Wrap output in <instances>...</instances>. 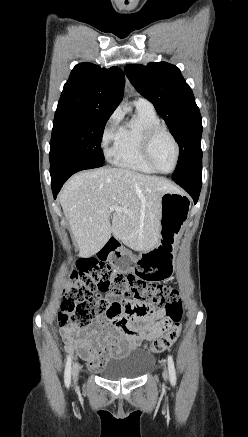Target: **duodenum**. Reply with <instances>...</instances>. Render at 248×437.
<instances>
[{
  "instance_id": "obj_1",
  "label": "duodenum",
  "mask_w": 248,
  "mask_h": 437,
  "mask_svg": "<svg viewBox=\"0 0 248 437\" xmlns=\"http://www.w3.org/2000/svg\"><path fill=\"white\" fill-rule=\"evenodd\" d=\"M119 247L120 241L116 237L112 236L107 240L103 248H98L95 251V254L98 257H111L114 254V251H116Z\"/></svg>"
}]
</instances>
